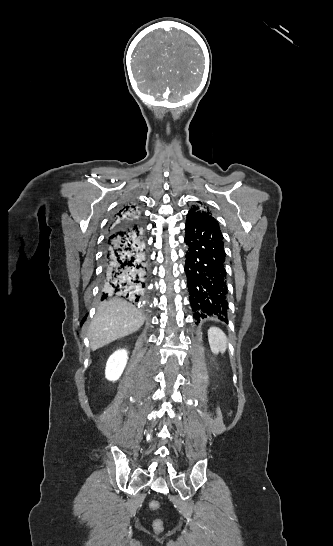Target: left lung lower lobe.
I'll return each instance as SVG.
<instances>
[{
    "instance_id": "1",
    "label": "left lung lower lobe",
    "mask_w": 333,
    "mask_h": 546,
    "mask_svg": "<svg viewBox=\"0 0 333 546\" xmlns=\"http://www.w3.org/2000/svg\"><path fill=\"white\" fill-rule=\"evenodd\" d=\"M185 272L194 318L227 320V278L223 236L216 220L187 215Z\"/></svg>"
}]
</instances>
